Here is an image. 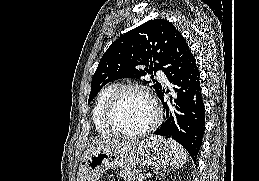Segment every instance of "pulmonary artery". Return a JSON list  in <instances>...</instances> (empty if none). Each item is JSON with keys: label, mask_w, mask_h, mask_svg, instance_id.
<instances>
[{"label": "pulmonary artery", "mask_w": 259, "mask_h": 181, "mask_svg": "<svg viewBox=\"0 0 259 181\" xmlns=\"http://www.w3.org/2000/svg\"><path fill=\"white\" fill-rule=\"evenodd\" d=\"M157 76H158V78H159L161 81L167 82V78H166V76H165V74H164L163 72H158V73H157Z\"/></svg>", "instance_id": "pulmonary-artery-1"}]
</instances>
